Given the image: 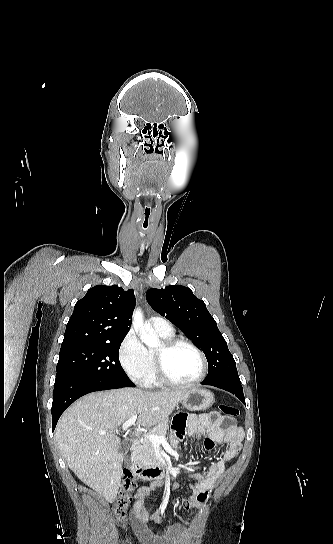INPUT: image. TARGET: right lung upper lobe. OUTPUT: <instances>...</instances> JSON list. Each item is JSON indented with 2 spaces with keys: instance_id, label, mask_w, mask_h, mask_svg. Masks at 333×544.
I'll list each match as a JSON object with an SVG mask.
<instances>
[{
  "instance_id": "1",
  "label": "right lung upper lobe",
  "mask_w": 333,
  "mask_h": 544,
  "mask_svg": "<svg viewBox=\"0 0 333 544\" xmlns=\"http://www.w3.org/2000/svg\"><path fill=\"white\" fill-rule=\"evenodd\" d=\"M135 302L133 290L117 285L90 288L74 307L61 348L125 337Z\"/></svg>"
}]
</instances>
